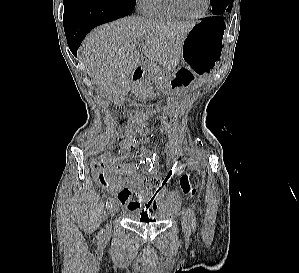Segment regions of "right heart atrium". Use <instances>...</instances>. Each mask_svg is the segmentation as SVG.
Instances as JSON below:
<instances>
[{
	"mask_svg": "<svg viewBox=\"0 0 299 273\" xmlns=\"http://www.w3.org/2000/svg\"><path fill=\"white\" fill-rule=\"evenodd\" d=\"M136 2L139 10L143 12L147 0H136Z\"/></svg>",
	"mask_w": 299,
	"mask_h": 273,
	"instance_id": "1",
	"label": "right heart atrium"
}]
</instances>
